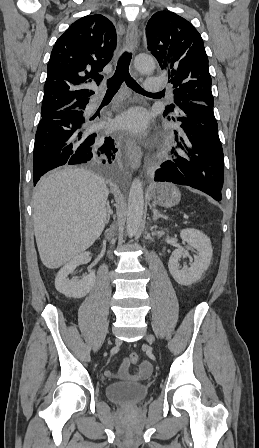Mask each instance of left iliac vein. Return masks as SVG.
<instances>
[{
	"label": "left iliac vein",
	"mask_w": 259,
	"mask_h": 448,
	"mask_svg": "<svg viewBox=\"0 0 259 448\" xmlns=\"http://www.w3.org/2000/svg\"><path fill=\"white\" fill-rule=\"evenodd\" d=\"M145 339H146L150 344H152V343L154 342V337H153L152 335L147 334V335L145 336Z\"/></svg>",
	"instance_id": "4c4485c4"
}]
</instances>
